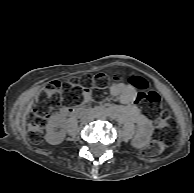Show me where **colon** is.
<instances>
[{
    "label": "colon",
    "mask_w": 194,
    "mask_h": 193,
    "mask_svg": "<svg viewBox=\"0 0 194 193\" xmlns=\"http://www.w3.org/2000/svg\"><path fill=\"white\" fill-rule=\"evenodd\" d=\"M131 84L138 85L137 79H131ZM107 86V78L103 73L83 77L64 86L67 98L63 100L62 85L58 81L50 82L43 90L41 98L34 107L27 127L28 138L32 143L41 144L43 127L46 119L62 102L70 103L82 99L100 100ZM136 102L143 107L145 114L151 119L158 120L157 137L143 150L142 154L154 157L162 153L167 143L176 137L172 119L163 111L161 97L155 91H142L137 95Z\"/></svg>",
    "instance_id": "1"
}]
</instances>
